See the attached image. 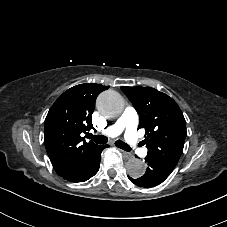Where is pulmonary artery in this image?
Wrapping results in <instances>:
<instances>
[{"mask_svg":"<svg viewBox=\"0 0 227 227\" xmlns=\"http://www.w3.org/2000/svg\"><path fill=\"white\" fill-rule=\"evenodd\" d=\"M138 118L139 115L137 110L132 106H128L117 121V128H119L120 132H124L123 139L127 148L134 154H139L143 150V145L139 142V136L135 133L137 130L136 123ZM112 132L113 127L111 125H106L101 128H97L95 130V135L97 137H104Z\"/></svg>","mask_w":227,"mask_h":227,"instance_id":"1","label":"pulmonary artery"}]
</instances>
